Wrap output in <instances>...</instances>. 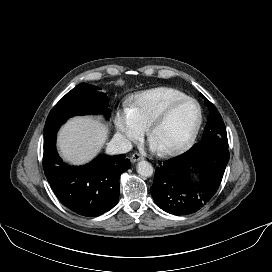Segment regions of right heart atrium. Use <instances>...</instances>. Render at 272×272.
I'll return each mask as SVG.
<instances>
[{
    "mask_svg": "<svg viewBox=\"0 0 272 272\" xmlns=\"http://www.w3.org/2000/svg\"><path fill=\"white\" fill-rule=\"evenodd\" d=\"M115 125L119 138L125 144L140 140L145 128L137 121L129 108L119 110L116 113Z\"/></svg>",
    "mask_w": 272,
    "mask_h": 272,
    "instance_id": "1",
    "label": "right heart atrium"
}]
</instances>
